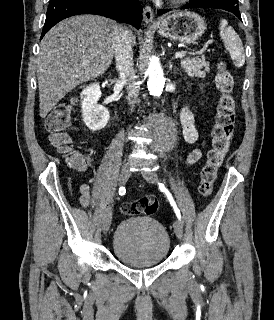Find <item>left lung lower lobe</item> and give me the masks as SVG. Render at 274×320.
Here are the masks:
<instances>
[{
  "mask_svg": "<svg viewBox=\"0 0 274 320\" xmlns=\"http://www.w3.org/2000/svg\"><path fill=\"white\" fill-rule=\"evenodd\" d=\"M189 8H219V9H224L229 12L234 13L240 20H241V15L239 12L238 7H232L228 6L226 4H223L221 2H217L214 0H192L190 3L184 5L181 9H189ZM170 9H159L158 10V15H162L166 12H168Z\"/></svg>",
  "mask_w": 274,
  "mask_h": 320,
  "instance_id": "obj_1",
  "label": "left lung lower lobe"
}]
</instances>
